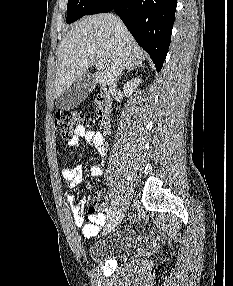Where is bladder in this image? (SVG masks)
I'll return each mask as SVG.
<instances>
[{
	"instance_id": "bladder-1",
	"label": "bladder",
	"mask_w": 233,
	"mask_h": 286,
	"mask_svg": "<svg viewBox=\"0 0 233 286\" xmlns=\"http://www.w3.org/2000/svg\"><path fill=\"white\" fill-rule=\"evenodd\" d=\"M136 243L132 232L126 230L93 245L88 255L93 262H101L110 258L124 260L135 253Z\"/></svg>"
}]
</instances>
